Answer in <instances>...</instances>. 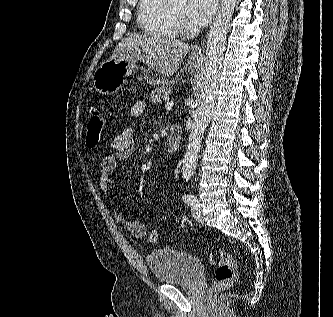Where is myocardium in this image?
I'll use <instances>...</instances> for the list:
<instances>
[{"instance_id":"f54148a6","label":"myocardium","mask_w":333,"mask_h":317,"mask_svg":"<svg viewBox=\"0 0 333 317\" xmlns=\"http://www.w3.org/2000/svg\"><path fill=\"white\" fill-rule=\"evenodd\" d=\"M171 0H166L165 3V10L167 12V15L171 22L177 27V28H184L185 27V22L182 18H180L172 9Z\"/></svg>"}]
</instances>
